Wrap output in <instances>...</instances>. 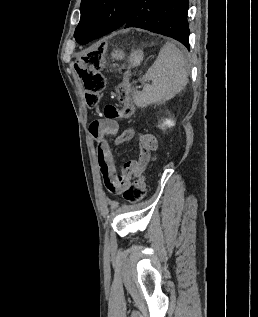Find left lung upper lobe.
Here are the masks:
<instances>
[{
  "label": "left lung upper lobe",
  "mask_w": 258,
  "mask_h": 317,
  "mask_svg": "<svg viewBox=\"0 0 258 317\" xmlns=\"http://www.w3.org/2000/svg\"><path fill=\"white\" fill-rule=\"evenodd\" d=\"M133 0H82L80 23L74 37L79 42L89 32L98 27L117 29L121 27L129 13Z\"/></svg>",
  "instance_id": "5c2ea615"
}]
</instances>
